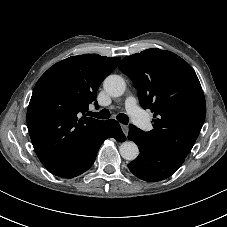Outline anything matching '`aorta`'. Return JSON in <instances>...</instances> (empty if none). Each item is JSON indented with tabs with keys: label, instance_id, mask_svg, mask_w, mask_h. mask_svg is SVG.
<instances>
[{
	"label": "aorta",
	"instance_id": "aorta-1",
	"mask_svg": "<svg viewBox=\"0 0 227 227\" xmlns=\"http://www.w3.org/2000/svg\"><path fill=\"white\" fill-rule=\"evenodd\" d=\"M104 89L112 97H119L124 94L126 83L119 75H109L104 80ZM121 156L129 161L135 160L139 155L138 146L132 141H125L119 148Z\"/></svg>",
	"mask_w": 227,
	"mask_h": 227
}]
</instances>
